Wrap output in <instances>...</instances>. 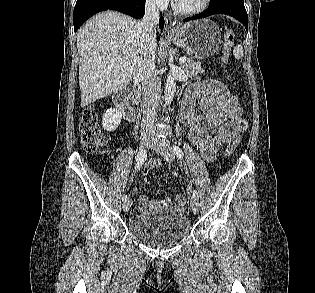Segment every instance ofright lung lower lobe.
<instances>
[{"mask_svg": "<svg viewBox=\"0 0 315 293\" xmlns=\"http://www.w3.org/2000/svg\"><path fill=\"white\" fill-rule=\"evenodd\" d=\"M145 0H77L74 8L75 31L91 16L104 10H117L136 19L144 16ZM164 18L160 17L159 28L163 29Z\"/></svg>", "mask_w": 315, "mask_h": 293, "instance_id": "1", "label": "right lung lower lobe"}]
</instances>
